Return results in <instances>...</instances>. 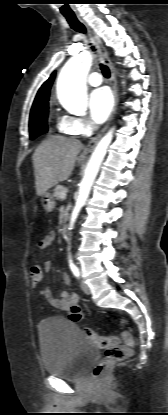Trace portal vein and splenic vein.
Returning <instances> with one entry per match:
<instances>
[{
    "instance_id": "1",
    "label": "portal vein and splenic vein",
    "mask_w": 168,
    "mask_h": 415,
    "mask_svg": "<svg viewBox=\"0 0 168 415\" xmlns=\"http://www.w3.org/2000/svg\"><path fill=\"white\" fill-rule=\"evenodd\" d=\"M60 197L62 198V199H64V198H66V192H61V195H60Z\"/></svg>"
}]
</instances>
